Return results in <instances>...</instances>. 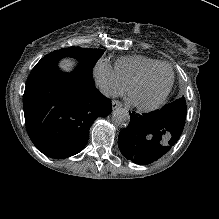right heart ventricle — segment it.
<instances>
[{
	"label": "right heart ventricle",
	"mask_w": 219,
	"mask_h": 219,
	"mask_svg": "<svg viewBox=\"0 0 219 219\" xmlns=\"http://www.w3.org/2000/svg\"><path fill=\"white\" fill-rule=\"evenodd\" d=\"M158 63L155 58L139 54L125 56L115 61L114 74L124 85H129L138 75Z\"/></svg>",
	"instance_id": "1"
}]
</instances>
